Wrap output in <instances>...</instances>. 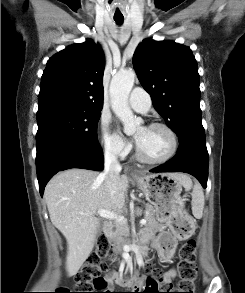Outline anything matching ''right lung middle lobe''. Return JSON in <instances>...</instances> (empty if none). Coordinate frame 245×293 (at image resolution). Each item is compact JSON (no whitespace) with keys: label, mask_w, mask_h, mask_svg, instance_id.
<instances>
[{"label":"right lung middle lobe","mask_w":245,"mask_h":293,"mask_svg":"<svg viewBox=\"0 0 245 293\" xmlns=\"http://www.w3.org/2000/svg\"><path fill=\"white\" fill-rule=\"evenodd\" d=\"M101 110L49 107L38 110L36 165L51 153L74 146L99 147L97 124Z\"/></svg>","instance_id":"1"}]
</instances>
